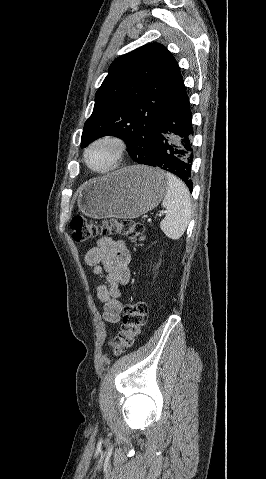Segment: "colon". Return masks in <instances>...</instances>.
I'll list each match as a JSON object with an SVG mask.
<instances>
[{
	"mask_svg": "<svg viewBox=\"0 0 266 479\" xmlns=\"http://www.w3.org/2000/svg\"><path fill=\"white\" fill-rule=\"evenodd\" d=\"M73 240L85 243L98 235L121 234L131 242H139L144 237V225L132 219L89 220L75 216L70 221ZM147 305L143 300H131L124 306V316L119 333L110 341L115 354L131 348L141 335L147 321Z\"/></svg>",
	"mask_w": 266,
	"mask_h": 479,
	"instance_id": "1",
	"label": "colon"
}]
</instances>
